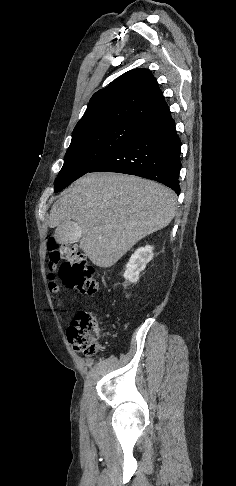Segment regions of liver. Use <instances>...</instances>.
<instances>
[{
  "label": "liver",
  "instance_id": "liver-1",
  "mask_svg": "<svg viewBox=\"0 0 236 486\" xmlns=\"http://www.w3.org/2000/svg\"><path fill=\"white\" fill-rule=\"evenodd\" d=\"M176 205L175 193L157 182L88 173L53 204L48 225L76 223L82 251L96 266L109 268L142 238L165 228Z\"/></svg>",
  "mask_w": 236,
  "mask_h": 486
}]
</instances>
